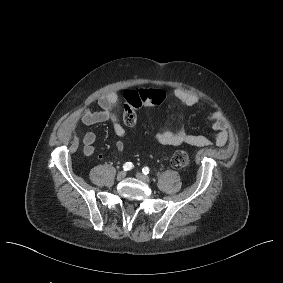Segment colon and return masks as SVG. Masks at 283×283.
Wrapping results in <instances>:
<instances>
[{"instance_id": "colon-1", "label": "colon", "mask_w": 283, "mask_h": 283, "mask_svg": "<svg viewBox=\"0 0 283 283\" xmlns=\"http://www.w3.org/2000/svg\"><path fill=\"white\" fill-rule=\"evenodd\" d=\"M165 95L163 91L154 88H140L125 91L126 104L123 110V121L132 126L137 121V109L142 106H154L163 102ZM190 162L189 154L184 150L176 151L171 164L175 168H184Z\"/></svg>"}]
</instances>
